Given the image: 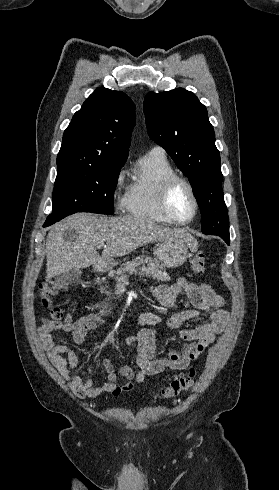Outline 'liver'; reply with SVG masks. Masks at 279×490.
<instances>
[{
  "label": "liver",
  "mask_w": 279,
  "mask_h": 490,
  "mask_svg": "<svg viewBox=\"0 0 279 490\" xmlns=\"http://www.w3.org/2000/svg\"><path fill=\"white\" fill-rule=\"evenodd\" d=\"M65 230H76L79 240L65 242ZM171 238H184L192 250L198 244L185 228H162L146 218L123 216L102 218L95 214H73L52 226L46 242V278L59 276L70 270L89 268L111 270L105 266L112 258L131 254L143 244L165 242ZM103 248L102 256L97 250Z\"/></svg>",
  "instance_id": "obj_1"
}]
</instances>
